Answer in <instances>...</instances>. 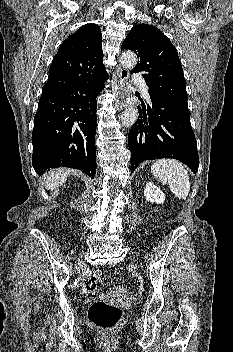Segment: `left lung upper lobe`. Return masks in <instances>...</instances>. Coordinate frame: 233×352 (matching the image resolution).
<instances>
[{"label": "left lung upper lobe", "mask_w": 233, "mask_h": 352, "mask_svg": "<svg viewBox=\"0 0 233 352\" xmlns=\"http://www.w3.org/2000/svg\"><path fill=\"white\" fill-rule=\"evenodd\" d=\"M121 49L136 53L138 62L131 73H143L148 92L188 107L186 81L177 50L158 28L144 23L134 26Z\"/></svg>", "instance_id": "5c2ea615"}]
</instances>
